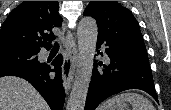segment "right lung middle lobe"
Instances as JSON below:
<instances>
[{"instance_id": "1", "label": "right lung middle lobe", "mask_w": 171, "mask_h": 110, "mask_svg": "<svg viewBox=\"0 0 171 110\" xmlns=\"http://www.w3.org/2000/svg\"><path fill=\"white\" fill-rule=\"evenodd\" d=\"M36 50L24 48H0V71L39 65Z\"/></svg>"}]
</instances>
